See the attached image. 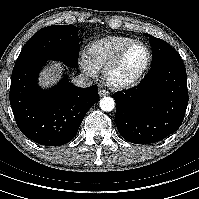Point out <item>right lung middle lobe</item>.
I'll use <instances>...</instances> for the list:
<instances>
[{"label": "right lung middle lobe", "mask_w": 199, "mask_h": 199, "mask_svg": "<svg viewBox=\"0 0 199 199\" xmlns=\"http://www.w3.org/2000/svg\"><path fill=\"white\" fill-rule=\"evenodd\" d=\"M78 28L54 25L40 29L24 45L13 71L35 62L55 60L75 68L79 57Z\"/></svg>", "instance_id": "obj_1"}]
</instances>
